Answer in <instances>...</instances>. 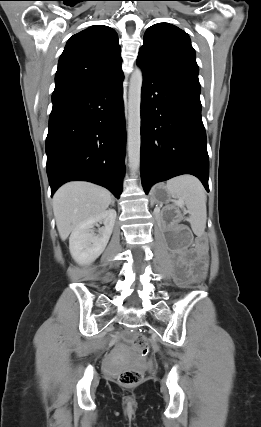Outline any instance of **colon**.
Masks as SVG:
<instances>
[{
	"mask_svg": "<svg viewBox=\"0 0 261 427\" xmlns=\"http://www.w3.org/2000/svg\"><path fill=\"white\" fill-rule=\"evenodd\" d=\"M132 345L140 356H146L149 352V343L146 337L136 335L132 338ZM143 380V372L137 369L123 371L118 376V382L124 387H135Z\"/></svg>",
	"mask_w": 261,
	"mask_h": 427,
	"instance_id": "1",
	"label": "colon"
}]
</instances>
